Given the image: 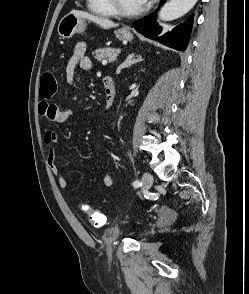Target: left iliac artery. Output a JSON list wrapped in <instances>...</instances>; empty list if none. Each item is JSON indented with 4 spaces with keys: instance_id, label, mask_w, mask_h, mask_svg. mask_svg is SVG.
Returning <instances> with one entry per match:
<instances>
[{
    "instance_id": "left-iliac-artery-1",
    "label": "left iliac artery",
    "mask_w": 249,
    "mask_h": 294,
    "mask_svg": "<svg viewBox=\"0 0 249 294\" xmlns=\"http://www.w3.org/2000/svg\"><path fill=\"white\" fill-rule=\"evenodd\" d=\"M133 186L135 188H138V187L142 186V183L140 181L136 180V181L133 182Z\"/></svg>"
}]
</instances>
